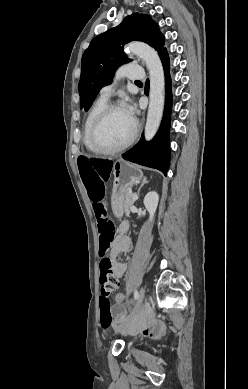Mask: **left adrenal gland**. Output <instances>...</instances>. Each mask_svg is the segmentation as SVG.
<instances>
[{"mask_svg":"<svg viewBox=\"0 0 248 389\" xmlns=\"http://www.w3.org/2000/svg\"><path fill=\"white\" fill-rule=\"evenodd\" d=\"M146 183H148V181H147L146 178H144V179L142 180V183H141V185H140L138 191H137V195H139L141 188H142Z\"/></svg>","mask_w":248,"mask_h":389,"instance_id":"1","label":"left adrenal gland"}]
</instances>
